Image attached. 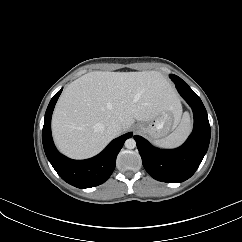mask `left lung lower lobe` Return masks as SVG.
<instances>
[{
    "label": "left lung lower lobe",
    "mask_w": 242,
    "mask_h": 242,
    "mask_svg": "<svg viewBox=\"0 0 242 242\" xmlns=\"http://www.w3.org/2000/svg\"><path fill=\"white\" fill-rule=\"evenodd\" d=\"M175 86L194 114V128L187 141L179 148L160 150L146 139L134 136L146 171L154 179L168 183L183 182L195 173L207 152L211 133L207 112L199 96L186 83Z\"/></svg>",
    "instance_id": "obj_1"
}]
</instances>
